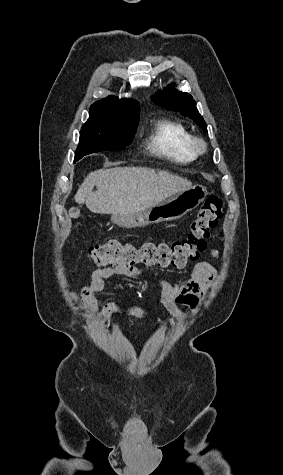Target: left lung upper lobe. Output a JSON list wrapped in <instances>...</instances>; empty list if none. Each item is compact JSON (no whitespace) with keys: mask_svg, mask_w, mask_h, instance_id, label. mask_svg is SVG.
I'll list each match as a JSON object with an SVG mask.
<instances>
[{"mask_svg":"<svg viewBox=\"0 0 283 475\" xmlns=\"http://www.w3.org/2000/svg\"><path fill=\"white\" fill-rule=\"evenodd\" d=\"M173 86L175 84H172ZM152 100L167 110L179 111L182 115L194 120L204 131H207L206 123L196 108V102L192 96L185 92H180L174 88H167L163 92L159 91L152 97Z\"/></svg>","mask_w":283,"mask_h":475,"instance_id":"5c2ea615","label":"left lung upper lobe"}]
</instances>
